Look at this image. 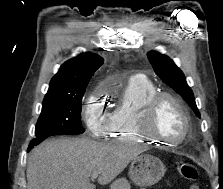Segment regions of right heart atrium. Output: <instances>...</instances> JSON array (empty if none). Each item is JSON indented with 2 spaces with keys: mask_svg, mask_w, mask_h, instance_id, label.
Returning a JSON list of instances; mask_svg holds the SVG:
<instances>
[{
  "mask_svg": "<svg viewBox=\"0 0 223 189\" xmlns=\"http://www.w3.org/2000/svg\"><path fill=\"white\" fill-rule=\"evenodd\" d=\"M100 101V90L96 89L86 100L83 109L86 125L95 137L105 133L107 124V114L104 112Z\"/></svg>",
  "mask_w": 223,
  "mask_h": 189,
  "instance_id": "obj_1",
  "label": "right heart atrium"
}]
</instances>
